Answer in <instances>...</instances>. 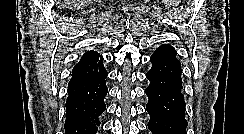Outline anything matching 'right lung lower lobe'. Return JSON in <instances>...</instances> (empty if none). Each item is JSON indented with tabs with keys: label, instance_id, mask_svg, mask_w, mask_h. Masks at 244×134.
<instances>
[{
	"label": "right lung lower lobe",
	"instance_id": "98d812e1",
	"mask_svg": "<svg viewBox=\"0 0 244 134\" xmlns=\"http://www.w3.org/2000/svg\"><path fill=\"white\" fill-rule=\"evenodd\" d=\"M107 74L91 80L68 84L66 101V134H96L99 116L105 111L104 98L108 92Z\"/></svg>",
	"mask_w": 244,
	"mask_h": 134
}]
</instances>
